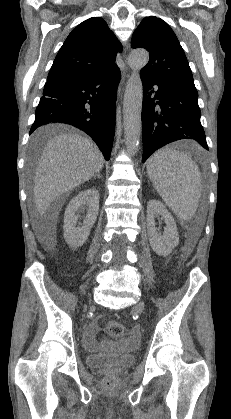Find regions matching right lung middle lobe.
Here are the masks:
<instances>
[{
	"label": "right lung middle lobe",
	"mask_w": 231,
	"mask_h": 419,
	"mask_svg": "<svg viewBox=\"0 0 231 419\" xmlns=\"http://www.w3.org/2000/svg\"><path fill=\"white\" fill-rule=\"evenodd\" d=\"M40 142H41V141H40ZM40 142H39V141H34V142H33L34 147H38V146H40Z\"/></svg>",
	"instance_id": "right-lung-middle-lobe-1"
}]
</instances>
